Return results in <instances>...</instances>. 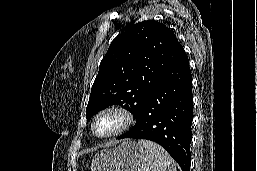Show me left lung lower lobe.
Returning <instances> with one entry per match:
<instances>
[{"instance_id": "obj_1", "label": "left lung lower lobe", "mask_w": 257, "mask_h": 171, "mask_svg": "<svg viewBox=\"0 0 257 171\" xmlns=\"http://www.w3.org/2000/svg\"><path fill=\"white\" fill-rule=\"evenodd\" d=\"M191 80L188 57L181 48L163 73L134 127L117 139L154 141L175 159L182 171H189L193 118Z\"/></svg>"}]
</instances>
